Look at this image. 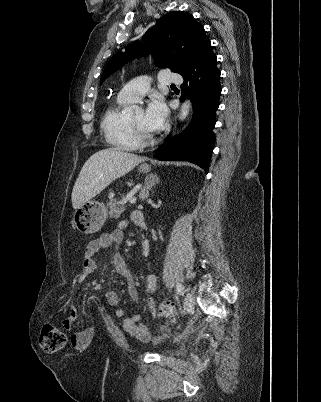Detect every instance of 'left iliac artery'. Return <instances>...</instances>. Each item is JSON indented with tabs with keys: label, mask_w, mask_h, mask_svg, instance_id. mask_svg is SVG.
<instances>
[{
	"label": "left iliac artery",
	"mask_w": 321,
	"mask_h": 402,
	"mask_svg": "<svg viewBox=\"0 0 321 402\" xmlns=\"http://www.w3.org/2000/svg\"><path fill=\"white\" fill-rule=\"evenodd\" d=\"M177 292L180 295H184V293H185L184 286L180 283L177 284Z\"/></svg>",
	"instance_id": "obj_1"
}]
</instances>
